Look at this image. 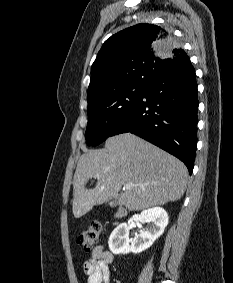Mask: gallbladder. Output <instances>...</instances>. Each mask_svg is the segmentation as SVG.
<instances>
[{"label":"gallbladder","mask_w":233,"mask_h":283,"mask_svg":"<svg viewBox=\"0 0 233 283\" xmlns=\"http://www.w3.org/2000/svg\"><path fill=\"white\" fill-rule=\"evenodd\" d=\"M117 199V197H115V200ZM114 203H112V205H113Z\"/></svg>","instance_id":"gallbladder-1"}]
</instances>
